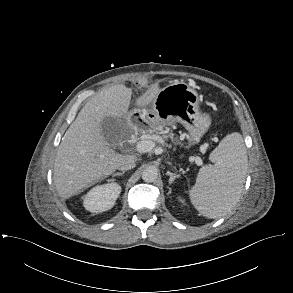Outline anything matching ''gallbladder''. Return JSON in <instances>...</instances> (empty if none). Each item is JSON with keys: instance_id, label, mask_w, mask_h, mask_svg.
Instances as JSON below:
<instances>
[{"instance_id": "gallbladder-1", "label": "gallbladder", "mask_w": 293, "mask_h": 293, "mask_svg": "<svg viewBox=\"0 0 293 293\" xmlns=\"http://www.w3.org/2000/svg\"><path fill=\"white\" fill-rule=\"evenodd\" d=\"M102 133L105 139L110 144H115L119 141L120 125L116 118L106 117L102 121Z\"/></svg>"}]
</instances>
